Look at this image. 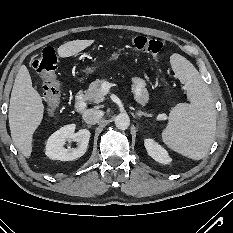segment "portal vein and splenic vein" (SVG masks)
<instances>
[{
    "label": "portal vein and splenic vein",
    "mask_w": 233,
    "mask_h": 233,
    "mask_svg": "<svg viewBox=\"0 0 233 233\" xmlns=\"http://www.w3.org/2000/svg\"><path fill=\"white\" fill-rule=\"evenodd\" d=\"M110 88H111V84L109 82L103 83V85L101 87V91H102L103 95L108 94ZM158 118L161 119V120H165L167 117H166L165 114H160V115H158Z\"/></svg>",
    "instance_id": "18ae733b"
}]
</instances>
